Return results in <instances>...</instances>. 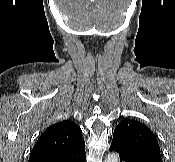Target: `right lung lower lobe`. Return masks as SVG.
<instances>
[{
    "label": "right lung lower lobe",
    "mask_w": 175,
    "mask_h": 162,
    "mask_svg": "<svg viewBox=\"0 0 175 162\" xmlns=\"http://www.w3.org/2000/svg\"><path fill=\"white\" fill-rule=\"evenodd\" d=\"M86 161V153L75 158V159H66V158H56L47 160L46 162H85Z\"/></svg>",
    "instance_id": "right-lung-lower-lobe-1"
}]
</instances>
